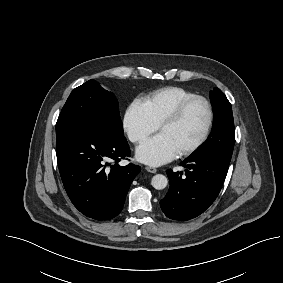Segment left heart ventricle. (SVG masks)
I'll use <instances>...</instances> for the list:
<instances>
[{
	"label": "left heart ventricle",
	"instance_id": "obj_1",
	"mask_svg": "<svg viewBox=\"0 0 283 283\" xmlns=\"http://www.w3.org/2000/svg\"><path fill=\"white\" fill-rule=\"evenodd\" d=\"M208 113L202 102H195L185 112L182 119L160 130L176 147L178 153L197 141L206 127Z\"/></svg>",
	"mask_w": 283,
	"mask_h": 283
}]
</instances>
